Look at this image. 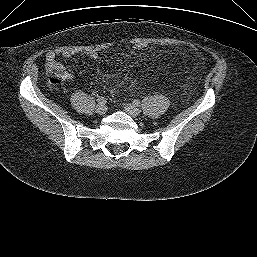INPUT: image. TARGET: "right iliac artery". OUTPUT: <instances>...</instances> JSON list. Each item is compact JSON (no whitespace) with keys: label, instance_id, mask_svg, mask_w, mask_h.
Here are the masks:
<instances>
[{"label":"right iliac artery","instance_id":"1","mask_svg":"<svg viewBox=\"0 0 257 257\" xmlns=\"http://www.w3.org/2000/svg\"><path fill=\"white\" fill-rule=\"evenodd\" d=\"M97 101H98V103H106V102H107V99H106L105 97L99 96V97L97 98Z\"/></svg>","mask_w":257,"mask_h":257}]
</instances>
